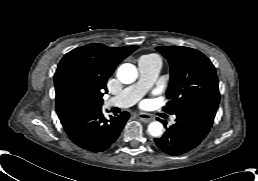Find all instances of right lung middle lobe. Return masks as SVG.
<instances>
[{
  "label": "right lung middle lobe",
  "instance_id": "obj_1",
  "mask_svg": "<svg viewBox=\"0 0 258 181\" xmlns=\"http://www.w3.org/2000/svg\"><path fill=\"white\" fill-rule=\"evenodd\" d=\"M101 105L96 98L73 83L65 85L56 103L58 113L75 109L99 108Z\"/></svg>",
  "mask_w": 258,
  "mask_h": 181
}]
</instances>
